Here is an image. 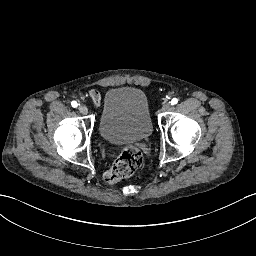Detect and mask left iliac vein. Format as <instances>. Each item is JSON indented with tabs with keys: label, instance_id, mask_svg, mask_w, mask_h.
Here are the masks:
<instances>
[{
	"label": "left iliac vein",
	"instance_id": "left-iliac-vein-1",
	"mask_svg": "<svg viewBox=\"0 0 256 256\" xmlns=\"http://www.w3.org/2000/svg\"><path fill=\"white\" fill-rule=\"evenodd\" d=\"M171 109V104L170 102H164L162 104V111H169Z\"/></svg>",
	"mask_w": 256,
	"mask_h": 256
}]
</instances>
